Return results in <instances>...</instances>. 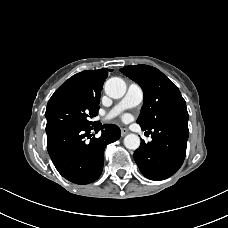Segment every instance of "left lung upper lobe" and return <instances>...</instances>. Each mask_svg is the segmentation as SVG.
Returning a JSON list of instances; mask_svg holds the SVG:
<instances>
[{
	"instance_id": "obj_1",
	"label": "left lung upper lobe",
	"mask_w": 228,
	"mask_h": 228,
	"mask_svg": "<svg viewBox=\"0 0 228 228\" xmlns=\"http://www.w3.org/2000/svg\"><path fill=\"white\" fill-rule=\"evenodd\" d=\"M120 71L137 82L144 92V104L137 123L143 129L188 120L186 103L177 86L161 71L149 65L126 66Z\"/></svg>"
}]
</instances>
